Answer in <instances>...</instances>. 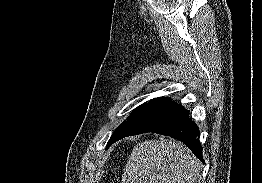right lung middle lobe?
Listing matches in <instances>:
<instances>
[{
  "mask_svg": "<svg viewBox=\"0 0 262 183\" xmlns=\"http://www.w3.org/2000/svg\"><path fill=\"white\" fill-rule=\"evenodd\" d=\"M149 103V102H148ZM148 103H143L142 105L138 106L132 113L131 115L127 118L126 121H124L123 123H121L119 125V127L115 130V132L112 135V138L109 140V142L107 143L110 144L111 142H113L116 138H118L121 133L126 129V127L136 119V117L144 110V108L147 106Z\"/></svg>",
  "mask_w": 262,
  "mask_h": 183,
  "instance_id": "obj_1",
  "label": "right lung middle lobe"
}]
</instances>
